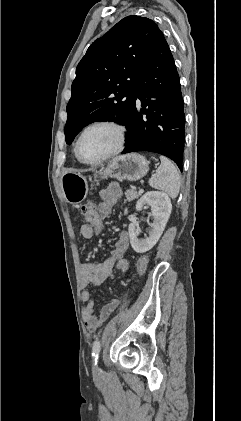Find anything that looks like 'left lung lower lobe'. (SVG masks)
Segmentation results:
<instances>
[{"mask_svg": "<svg viewBox=\"0 0 241 421\" xmlns=\"http://www.w3.org/2000/svg\"><path fill=\"white\" fill-rule=\"evenodd\" d=\"M136 91L122 154L136 151L159 153L172 159L182 171L184 101L175 62L162 32L158 34L138 77Z\"/></svg>", "mask_w": 241, "mask_h": 421, "instance_id": "0a47b994", "label": "left lung lower lobe"}]
</instances>
